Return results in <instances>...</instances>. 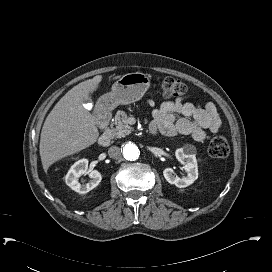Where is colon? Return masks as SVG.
<instances>
[{
  "label": "colon",
  "mask_w": 272,
  "mask_h": 272,
  "mask_svg": "<svg viewBox=\"0 0 272 272\" xmlns=\"http://www.w3.org/2000/svg\"><path fill=\"white\" fill-rule=\"evenodd\" d=\"M162 96L166 99L180 98L187 94L188 87L185 83L174 78L166 77L160 82ZM229 144L222 136H215L209 144V152L213 157L224 158L229 154Z\"/></svg>",
  "instance_id": "5ec220e1"
}]
</instances>
